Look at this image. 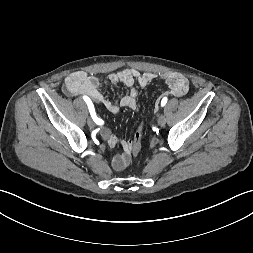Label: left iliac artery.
I'll use <instances>...</instances> for the list:
<instances>
[{
	"label": "left iliac artery",
	"instance_id": "left-iliac-artery-1",
	"mask_svg": "<svg viewBox=\"0 0 253 253\" xmlns=\"http://www.w3.org/2000/svg\"><path fill=\"white\" fill-rule=\"evenodd\" d=\"M167 103V98H163L162 102H161V106H164Z\"/></svg>",
	"mask_w": 253,
	"mask_h": 253
}]
</instances>
